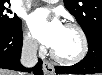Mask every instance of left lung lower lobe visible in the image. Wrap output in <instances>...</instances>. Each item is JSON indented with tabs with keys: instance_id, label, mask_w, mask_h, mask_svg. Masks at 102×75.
I'll return each mask as SVG.
<instances>
[{
	"instance_id": "obj_1",
	"label": "left lung lower lobe",
	"mask_w": 102,
	"mask_h": 75,
	"mask_svg": "<svg viewBox=\"0 0 102 75\" xmlns=\"http://www.w3.org/2000/svg\"><path fill=\"white\" fill-rule=\"evenodd\" d=\"M88 40L86 57L73 66H56L57 74H93L102 73V32H94Z\"/></svg>"
}]
</instances>
